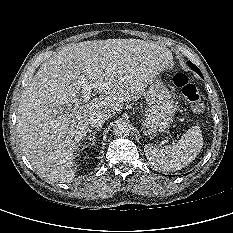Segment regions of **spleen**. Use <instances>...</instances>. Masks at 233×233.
I'll return each instance as SVG.
<instances>
[{"label":"spleen","instance_id":"spleen-1","mask_svg":"<svg viewBox=\"0 0 233 233\" xmlns=\"http://www.w3.org/2000/svg\"><path fill=\"white\" fill-rule=\"evenodd\" d=\"M203 146L202 131L199 126H192L172 145L158 148L146 144L144 152L150 164L157 170L175 171L189 165L200 153Z\"/></svg>","mask_w":233,"mask_h":233}]
</instances>
